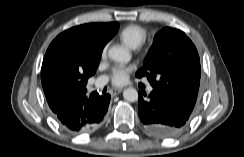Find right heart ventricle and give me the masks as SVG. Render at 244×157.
<instances>
[{
  "instance_id": "right-heart-ventricle-1",
  "label": "right heart ventricle",
  "mask_w": 244,
  "mask_h": 157,
  "mask_svg": "<svg viewBox=\"0 0 244 157\" xmlns=\"http://www.w3.org/2000/svg\"><path fill=\"white\" fill-rule=\"evenodd\" d=\"M146 37V29L137 24L127 25L119 33L121 41L130 48L140 46L146 40Z\"/></svg>"
}]
</instances>
